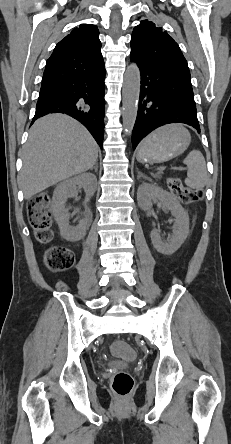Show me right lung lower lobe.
Instances as JSON below:
<instances>
[{"label": "right lung lower lobe", "instance_id": "1", "mask_svg": "<svg viewBox=\"0 0 231 444\" xmlns=\"http://www.w3.org/2000/svg\"><path fill=\"white\" fill-rule=\"evenodd\" d=\"M105 69L42 85L32 123L48 113H66L80 121L102 148Z\"/></svg>", "mask_w": 231, "mask_h": 444}]
</instances>
